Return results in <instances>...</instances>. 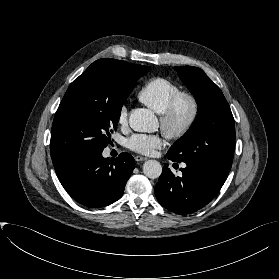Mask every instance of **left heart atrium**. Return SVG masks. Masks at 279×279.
<instances>
[{"mask_svg":"<svg viewBox=\"0 0 279 279\" xmlns=\"http://www.w3.org/2000/svg\"><path fill=\"white\" fill-rule=\"evenodd\" d=\"M163 145L161 136L157 134L137 133L127 140V147L143 155H151Z\"/></svg>","mask_w":279,"mask_h":279,"instance_id":"obj_1","label":"left heart atrium"}]
</instances>
